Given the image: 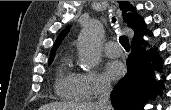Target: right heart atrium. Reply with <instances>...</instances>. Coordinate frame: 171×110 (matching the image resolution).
Returning a JSON list of instances; mask_svg holds the SVG:
<instances>
[{"instance_id":"1","label":"right heart atrium","mask_w":171,"mask_h":110,"mask_svg":"<svg viewBox=\"0 0 171 110\" xmlns=\"http://www.w3.org/2000/svg\"><path fill=\"white\" fill-rule=\"evenodd\" d=\"M86 99L102 94L109 88V83L98 73H79Z\"/></svg>"}]
</instances>
